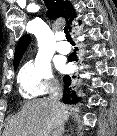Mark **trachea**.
I'll return each instance as SVG.
<instances>
[{"instance_id":"trachea-1","label":"trachea","mask_w":117,"mask_h":136,"mask_svg":"<svg viewBox=\"0 0 117 136\" xmlns=\"http://www.w3.org/2000/svg\"><path fill=\"white\" fill-rule=\"evenodd\" d=\"M64 33H65L66 38H67L68 41H72L73 40L71 35H70V33H69V29L67 28V26L64 28Z\"/></svg>"}]
</instances>
